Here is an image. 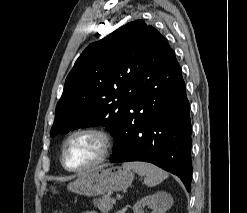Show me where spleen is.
<instances>
[{"label":"spleen","mask_w":247,"mask_h":213,"mask_svg":"<svg viewBox=\"0 0 247 213\" xmlns=\"http://www.w3.org/2000/svg\"><path fill=\"white\" fill-rule=\"evenodd\" d=\"M123 167L144 176V183L149 187L156 186L168 178L167 172L146 162H127L123 164Z\"/></svg>","instance_id":"1"}]
</instances>
